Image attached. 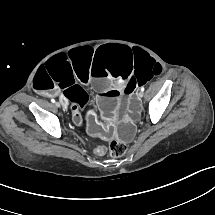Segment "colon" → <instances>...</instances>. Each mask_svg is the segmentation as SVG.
<instances>
[{
	"mask_svg": "<svg viewBox=\"0 0 215 215\" xmlns=\"http://www.w3.org/2000/svg\"><path fill=\"white\" fill-rule=\"evenodd\" d=\"M77 97L79 99H86V96L82 92H77ZM127 150V145L124 142H111L108 145V152L112 156H121L123 155Z\"/></svg>",
	"mask_w": 215,
	"mask_h": 215,
	"instance_id": "5ec220e1",
	"label": "colon"
}]
</instances>
